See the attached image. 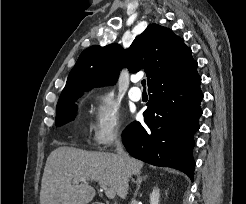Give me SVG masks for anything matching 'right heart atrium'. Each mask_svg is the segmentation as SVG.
Masks as SVG:
<instances>
[{
    "mask_svg": "<svg viewBox=\"0 0 246 204\" xmlns=\"http://www.w3.org/2000/svg\"><path fill=\"white\" fill-rule=\"evenodd\" d=\"M123 117L120 107L110 94L94 97L92 106L91 139L97 147H106L122 134Z\"/></svg>",
    "mask_w": 246,
    "mask_h": 204,
    "instance_id": "d8ad5b80",
    "label": "right heart atrium"
}]
</instances>
